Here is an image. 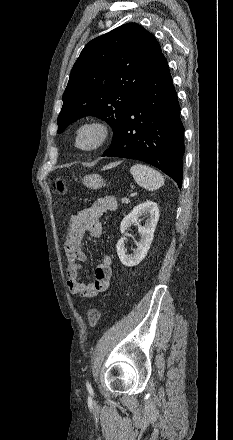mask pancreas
I'll list each match as a JSON object with an SVG mask.
<instances>
[{
	"instance_id": "cf45deb5",
	"label": "pancreas",
	"mask_w": 233,
	"mask_h": 440,
	"mask_svg": "<svg viewBox=\"0 0 233 440\" xmlns=\"http://www.w3.org/2000/svg\"><path fill=\"white\" fill-rule=\"evenodd\" d=\"M121 201H122V203H125V204L130 202L129 199H127V198H122Z\"/></svg>"
}]
</instances>
